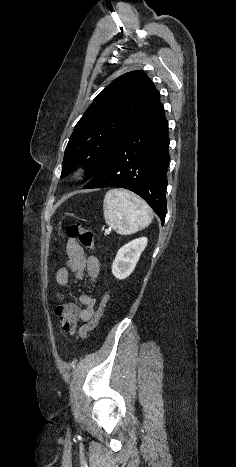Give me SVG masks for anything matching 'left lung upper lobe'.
I'll list each match as a JSON object with an SVG mask.
<instances>
[{"label":"left lung upper lobe","instance_id":"5c2ea615","mask_svg":"<svg viewBox=\"0 0 236 467\" xmlns=\"http://www.w3.org/2000/svg\"><path fill=\"white\" fill-rule=\"evenodd\" d=\"M159 103V91L144 72L131 71L115 79L76 124L65 149L61 177L82 165L86 180L92 178L117 141Z\"/></svg>","mask_w":236,"mask_h":467}]
</instances>
